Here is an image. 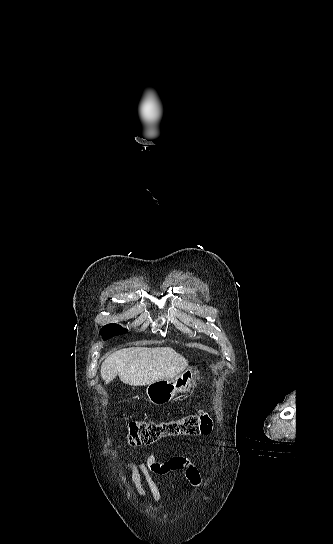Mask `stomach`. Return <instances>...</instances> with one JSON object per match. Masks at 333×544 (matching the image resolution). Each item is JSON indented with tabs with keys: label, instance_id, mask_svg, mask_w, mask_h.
<instances>
[{
	"label": "stomach",
	"instance_id": "stomach-1",
	"mask_svg": "<svg viewBox=\"0 0 333 544\" xmlns=\"http://www.w3.org/2000/svg\"><path fill=\"white\" fill-rule=\"evenodd\" d=\"M199 380L200 371L197 367H190L173 379H161L148 384L146 395L154 405H164L177 393L189 391Z\"/></svg>",
	"mask_w": 333,
	"mask_h": 544
}]
</instances>
